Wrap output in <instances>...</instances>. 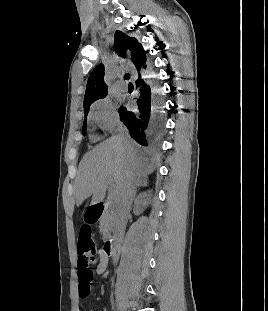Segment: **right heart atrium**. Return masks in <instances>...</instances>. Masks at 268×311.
<instances>
[{
    "instance_id": "right-heart-atrium-1",
    "label": "right heart atrium",
    "mask_w": 268,
    "mask_h": 311,
    "mask_svg": "<svg viewBox=\"0 0 268 311\" xmlns=\"http://www.w3.org/2000/svg\"><path fill=\"white\" fill-rule=\"evenodd\" d=\"M90 118L105 132H114L119 125L118 114L108 99L96 102L91 111Z\"/></svg>"
}]
</instances>
